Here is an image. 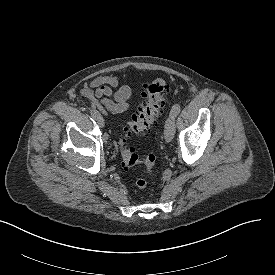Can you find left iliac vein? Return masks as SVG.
Returning <instances> with one entry per match:
<instances>
[{"label": "left iliac vein", "instance_id": "obj_1", "mask_svg": "<svg viewBox=\"0 0 275 275\" xmlns=\"http://www.w3.org/2000/svg\"><path fill=\"white\" fill-rule=\"evenodd\" d=\"M175 134V116L170 114L168 119L166 120L165 129H164V137L166 142H170Z\"/></svg>", "mask_w": 275, "mask_h": 275}]
</instances>
